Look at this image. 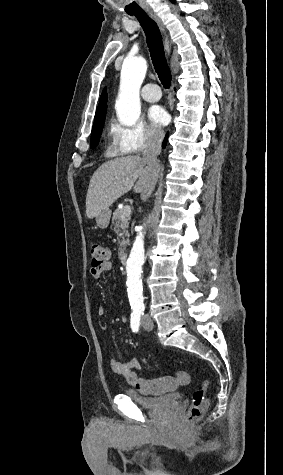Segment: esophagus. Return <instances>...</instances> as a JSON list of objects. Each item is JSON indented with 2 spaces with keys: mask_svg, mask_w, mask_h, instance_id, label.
<instances>
[{
  "mask_svg": "<svg viewBox=\"0 0 283 475\" xmlns=\"http://www.w3.org/2000/svg\"><path fill=\"white\" fill-rule=\"evenodd\" d=\"M148 15L154 20V22L157 23L158 27L162 30V32L164 33L165 35V49L167 51V53L169 54L170 51H171V43L165 33V28H164V25H163V22L162 20L158 17V15H156L155 13H153L152 11H147Z\"/></svg>",
  "mask_w": 283,
  "mask_h": 475,
  "instance_id": "esophagus-1",
  "label": "esophagus"
}]
</instances>
